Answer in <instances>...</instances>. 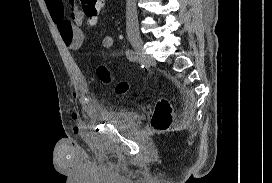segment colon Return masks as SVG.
Returning <instances> with one entry per match:
<instances>
[{
    "instance_id": "colon-1",
    "label": "colon",
    "mask_w": 272,
    "mask_h": 183,
    "mask_svg": "<svg viewBox=\"0 0 272 183\" xmlns=\"http://www.w3.org/2000/svg\"><path fill=\"white\" fill-rule=\"evenodd\" d=\"M80 5L84 16L89 22H93L103 8L104 0H80ZM97 76L105 84H110L112 82L111 73L104 66H100L97 69ZM127 89L128 85L126 82H118L114 86V90L118 94L126 92ZM171 123L172 107L167 100L161 99L155 105L151 118V126L157 132H164L170 128Z\"/></svg>"
}]
</instances>
